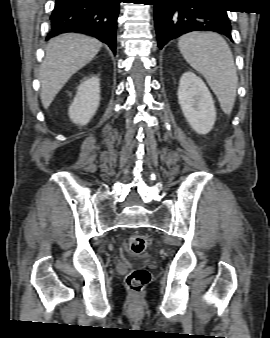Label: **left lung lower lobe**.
<instances>
[{
  "mask_svg": "<svg viewBox=\"0 0 270 338\" xmlns=\"http://www.w3.org/2000/svg\"><path fill=\"white\" fill-rule=\"evenodd\" d=\"M218 0H153L154 21L160 49L182 34L208 30L231 37L226 10Z\"/></svg>",
  "mask_w": 270,
  "mask_h": 338,
  "instance_id": "obj_1",
  "label": "left lung lower lobe"
}]
</instances>
